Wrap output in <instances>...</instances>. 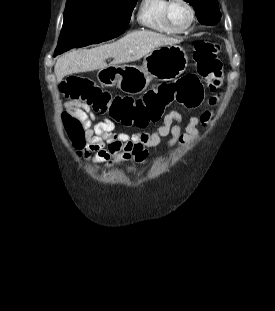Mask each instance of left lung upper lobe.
<instances>
[{"label":"left lung upper lobe","instance_id":"obj_1","mask_svg":"<svg viewBox=\"0 0 275 311\" xmlns=\"http://www.w3.org/2000/svg\"><path fill=\"white\" fill-rule=\"evenodd\" d=\"M196 11L198 20L205 25H215L221 18L217 0H185Z\"/></svg>","mask_w":275,"mask_h":311}]
</instances>
